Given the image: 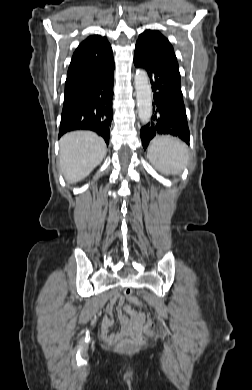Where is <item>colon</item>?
<instances>
[{
	"label": "colon",
	"mask_w": 252,
	"mask_h": 390,
	"mask_svg": "<svg viewBox=\"0 0 252 390\" xmlns=\"http://www.w3.org/2000/svg\"><path fill=\"white\" fill-rule=\"evenodd\" d=\"M124 295L128 299H133L132 291L130 289H126L124 291ZM152 326H153V324L149 321L147 323V327L145 329V332L150 333L151 330H152ZM144 338H145L144 334L136 333L132 337L127 338V339L121 341L117 345V348L119 350H121V351H127V352L128 351H133V350L137 349L142 344Z\"/></svg>",
	"instance_id": "5ec220e1"
}]
</instances>
